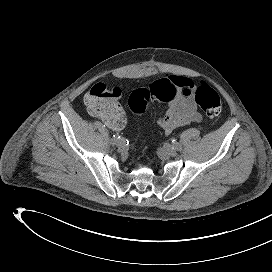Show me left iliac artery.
Here are the masks:
<instances>
[{
  "instance_id": "44dca946",
  "label": "left iliac artery",
  "mask_w": 272,
  "mask_h": 272,
  "mask_svg": "<svg viewBox=\"0 0 272 272\" xmlns=\"http://www.w3.org/2000/svg\"><path fill=\"white\" fill-rule=\"evenodd\" d=\"M172 146L174 150H177V151L181 150L180 144L175 139H172Z\"/></svg>"
}]
</instances>
